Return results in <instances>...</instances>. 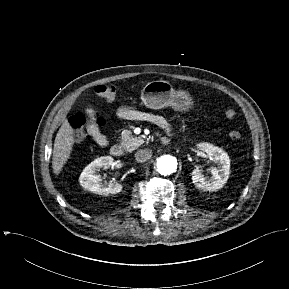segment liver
Listing matches in <instances>:
<instances>
[{"mask_svg": "<svg viewBox=\"0 0 289 289\" xmlns=\"http://www.w3.org/2000/svg\"><path fill=\"white\" fill-rule=\"evenodd\" d=\"M74 144V130L70 123L65 120L60 127L54 142L52 168L53 173L58 175L70 157Z\"/></svg>", "mask_w": 289, "mask_h": 289, "instance_id": "obj_1", "label": "liver"}]
</instances>
